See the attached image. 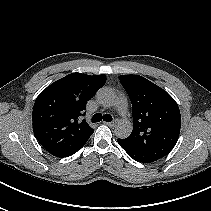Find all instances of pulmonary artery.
<instances>
[{
  "mask_svg": "<svg viewBox=\"0 0 211 211\" xmlns=\"http://www.w3.org/2000/svg\"><path fill=\"white\" fill-rule=\"evenodd\" d=\"M127 110V101L125 97H120L118 100V111L120 114L125 115Z\"/></svg>",
  "mask_w": 211,
  "mask_h": 211,
  "instance_id": "1",
  "label": "pulmonary artery"
}]
</instances>
